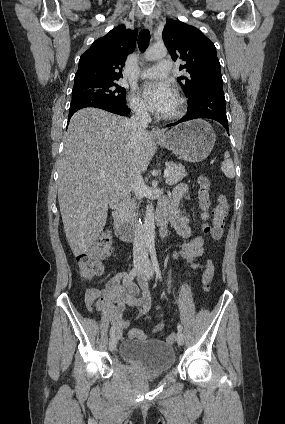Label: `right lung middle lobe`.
Listing matches in <instances>:
<instances>
[{
    "instance_id": "1",
    "label": "right lung middle lobe",
    "mask_w": 285,
    "mask_h": 424,
    "mask_svg": "<svg viewBox=\"0 0 285 424\" xmlns=\"http://www.w3.org/2000/svg\"><path fill=\"white\" fill-rule=\"evenodd\" d=\"M117 81H89L74 84L72 98L90 96L126 104L125 89L118 85Z\"/></svg>"
}]
</instances>
